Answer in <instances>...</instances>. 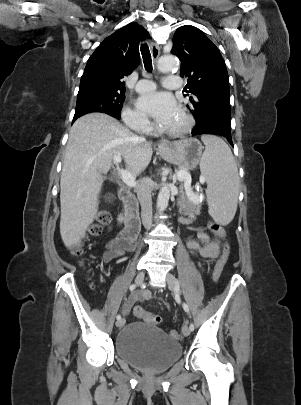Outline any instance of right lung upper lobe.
I'll return each mask as SVG.
<instances>
[{"label":"right lung upper lobe","mask_w":301,"mask_h":405,"mask_svg":"<svg viewBox=\"0 0 301 405\" xmlns=\"http://www.w3.org/2000/svg\"><path fill=\"white\" fill-rule=\"evenodd\" d=\"M150 38L145 28L130 23L107 37L87 61L78 93L87 91L125 92L122 78L139 61V42Z\"/></svg>","instance_id":"right-lung-upper-lobe-1"}]
</instances>
